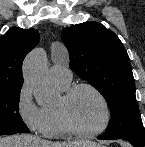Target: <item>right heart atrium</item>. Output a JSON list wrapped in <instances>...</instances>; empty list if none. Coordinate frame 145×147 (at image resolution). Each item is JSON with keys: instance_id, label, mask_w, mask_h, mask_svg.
Wrapping results in <instances>:
<instances>
[{"instance_id": "right-heart-atrium-1", "label": "right heart atrium", "mask_w": 145, "mask_h": 147, "mask_svg": "<svg viewBox=\"0 0 145 147\" xmlns=\"http://www.w3.org/2000/svg\"><path fill=\"white\" fill-rule=\"evenodd\" d=\"M16 109L24 125L36 133H44L46 118L41 106L33 100L32 92L27 83H23L17 95Z\"/></svg>"}]
</instances>
